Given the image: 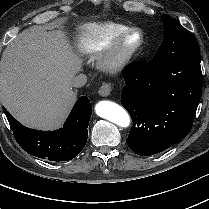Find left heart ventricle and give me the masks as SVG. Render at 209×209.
<instances>
[{
    "instance_id": "obj_1",
    "label": "left heart ventricle",
    "mask_w": 209,
    "mask_h": 209,
    "mask_svg": "<svg viewBox=\"0 0 209 209\" xmlns=\"http://www.w3.org/2000/svg\"><path fill=\"white\" fill-rule=\"evenodd\" d=\"M139 40V36L137 34H133L128 37L124 42V48H130L134 46Z\"/></svg>"
}]
</instances>
